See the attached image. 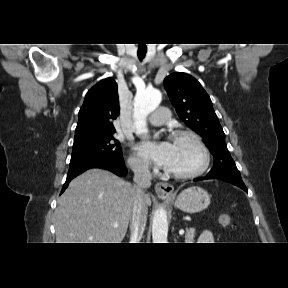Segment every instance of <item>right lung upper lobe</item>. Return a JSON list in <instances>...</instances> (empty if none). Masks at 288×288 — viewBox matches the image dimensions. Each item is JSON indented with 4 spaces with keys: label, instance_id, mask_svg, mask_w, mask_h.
Instances as JSON below:
<instances>
[{
    "label": "right lung upper lobe",
    "instance_id": "1",
    "mask_svg": "<svg viewBox=\"0 0 288 288\" xmlns=\"http://www.w3.org/2000/svg\"><path fill=\"white\" fill-rule=\"evenodd\" d=\"M119 109L117 84L112 78L94 85L80 108L74 143L114 134L113 120L119 115Z\"/></svg>",
    "mask_w": 288,
    "mask_h": 288
}]
</instances>
